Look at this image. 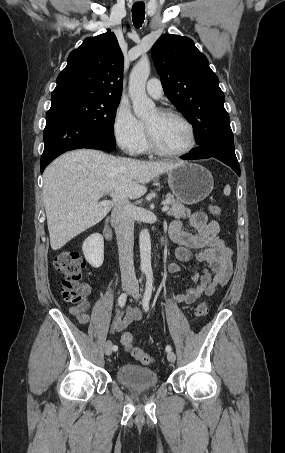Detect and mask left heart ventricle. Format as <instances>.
I'll use <instances>...</instances> for the list:
<instances>
[{"label":"left heart ventricle","instance_id":"1","mask_svg":"<svg viewBox=\"0 0 285 453\" xmlns=\"http://www.w3.org/2000/svg\"><path fill=\"white\" fill-rule=\"evenodd\" d=\"M155 140L161 148L177 152L185 149L190 143V132L187 126L174 117H163L154 112L145 121Z\"/></svg>","mask_w":285,"mask_h":453}]
</instances>
